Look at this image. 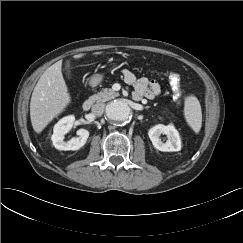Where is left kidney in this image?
I'll use <instances>...</instances> for the list:
<instances>
[{"mask_svg": "<svg viewBox=\"0 0 243 243\" xmlns=\"http://www.w3.org/2000/svg\"><path fill=\"white\" fill-rule=\"evenodd\" d=\"M167 136V141L163 142L160 138L161 135ZM149 138L153 146L164 152H174L181 149V140L178 131L173 125L158 124L152 127L148 132Z\"/></svg>", "mask_w": 243, "mask_h": 243, "instance_id": "5707ae66", "label": "left kidney"}]
</instances>
